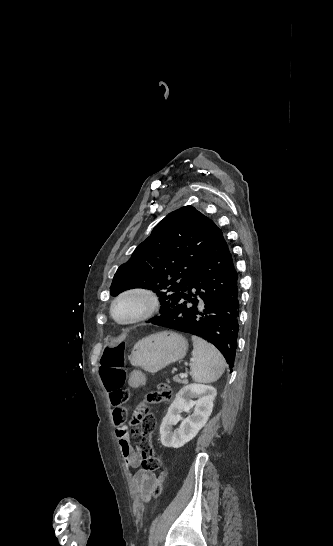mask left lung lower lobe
Listing matches in <instances>:
<instances>
[{
    "label": "left lung lower lobe",
    "mask_w": 333,
    "mask_h": 546,
    "mask_svg": "<svg viewBox=\"0 0 333 546\" xmlns=\"http://www.w3.org/2000/svg\"><path fill=\"white\" fill-rule=\"evenodd\" d=\"M172 308L151 323L202 337L234 365L239 317V285L232 255L218 228L207 256Z\"/></svg>",
    "instance_id": "obj_1"
}]
</instances>
